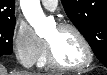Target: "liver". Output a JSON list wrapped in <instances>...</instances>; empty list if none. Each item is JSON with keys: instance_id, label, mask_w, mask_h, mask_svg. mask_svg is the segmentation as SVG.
<instances>
[{"instance_id": "liver-1", "label": "liver", "mask_w": 107, "mask_h": 75, "mask_svg": "<svg viewBox=\"0 0 107 75\" xmlns=\"http://www.w3.org/2000/svg\"><path fill=\"white\" fill-rule=\"evenodd\" d=\"M0 75H8L6 69L2 66L0 68ZM11 75H40V74H30V73H26V72H15L14 74H11Z\"/></svg>"}]
</instances>
